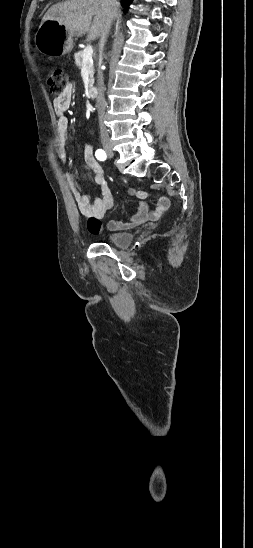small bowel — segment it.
<instances>
[{
	"mask_svg": "<svg viewBox=\"0 0 253 548\" xmlns=\"http://www.w3.org/2000/svg\"><path fill=\"white\" fill-rule=\"evenodd\" d=\"M74 88L70 83L65 90L57 95L53 100V108L57 117L56 121V134L54 137V147L56 154L61 161L67 162L68 153L66 148L69 120L67 118V112L70 109ZM84 161L93 174V180L100 193V198L91 201L89 196L82 194L76 184L74 177L71 173L65 174V179L72 190L78 210L87 219V228L92 234H99L102 231L101 220L104 215L113 209L114 197L109 189L107 181L103 174V169L99 162L95 159L93 154L92 144L87 142L84 147ZM130 194L141 200L138 206L137 212L133 217L126 222L113 220L109 223L108 228L112 231H118L123 229L133 228L146 221L156 219L162 211H164L169 201L163 197L159 200L158 206L154 211H150L147 203L144 201L147 197L145 190H131Z\"/></svg>",
	"mask_w": 253,
	"mask_h": 548,
	"instance_id": "obj_1",
	"label": "small bowel"
}]
</instances>
